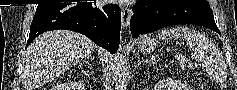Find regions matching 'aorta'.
<instances>
[{"label":"aorta","instance_id":"1","mask_svg":"<svg viewBox=\"0 0 237 90\" xmlns=\"http://www.w3.org/2000/svg\"><path fill=\"white\" fill-rule=\"evenodd\" d=\"M122 48L117 50L112 62V78L115 90H127L129 72Z\"/></svg>","mask_w":237,"mask_h":90}]
</instances>
